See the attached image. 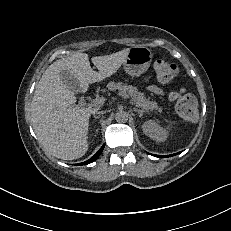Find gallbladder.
<instances>
[{"instance_id": "gallbladder-1", "label": "gallbladder", "mask_w": 231, "mask_h": 231, "mask_svg": "<svg viewBox=\"0 0 231 231\" xmlns=\"http://www.w3.org/2000/svg\"><path fill=\"white\" fill-rule=\"evenodd\" d=\"M60 78L73 94L78 95L81 93L82 86L80 85L79 80L70 71H61Z\"/></svg>"}]
</instances>
